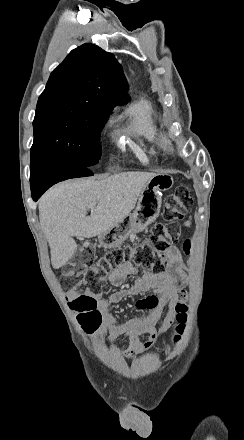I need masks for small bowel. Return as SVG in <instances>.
<instances>
[{"label":"small bowel","mask_w":244,"mask_h":440,"mask_svg":"<svg viewBox=\"0 0 244 440\" xmlns=\"http://www.w3.org/2000/svg\"><path fill=\"white\" fill-rule=\"evenodd\" d=\"M191 224L190 220H186L183 225L188 228ZM164 261L165 269L159 274L140 273L130 261H125L120 266L113 268L106 276V280L111 286H122L129 278L133 279V283L112 292L107 297L103 293L80 295L75 291L70 292L73 299L92 297L96 301V308L99 309L100 314L98 336L107 332V342L122 335L130 338V346L123 353V357L127 359L153 347L172 324L173 306L177 300V292L188 280V271L176 247L168 249ZM101 279L103 280L102 277ZM150 291H153V294L145 295ZM141 295L145 296L137 301L136 306L148 310L145 315L119 318L110 309V305L119 303L127 297ZM166 305L169 306V310L161 327L157 329L155 323L161 317ZM141 334H147L148 339L139 342L137 337Z\"/></svg>","instance_id":"obj_1"}]
</instances>
